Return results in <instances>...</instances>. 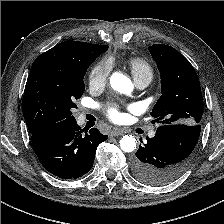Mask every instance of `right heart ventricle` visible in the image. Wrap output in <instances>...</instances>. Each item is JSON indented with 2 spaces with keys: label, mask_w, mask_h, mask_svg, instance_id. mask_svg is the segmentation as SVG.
I'll return each mask as SVG.
<instances>
[{
  "label": "right heart ventricle",
  "mask_w": 224,
  "mask_h": 224,
  "mask_svg": "<svg viewBox=\"0 0 224 224\" xmlns=\"http://www.w3.org/2000/svg\"><path fill=\"white\" fill-rule=\"evenodd\" d=\"M128 67L135 80L152 79L153 68L151 64L144 58L131 57L128 60Z\"/></svg>",
  "instance_id": "obj_1"
}]
</instances>
